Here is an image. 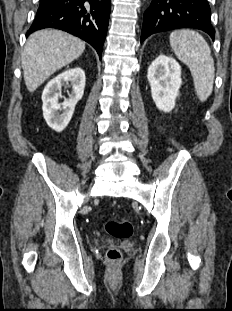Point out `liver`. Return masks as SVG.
I'll use <instances>...</instances> for the list:
<instances>
[{"mask_svg":"<svg viewBox=\"0 0 232 311\" xmlns=\"http://www.w3.org/2000/svg\"><path fill=\"white\" fill-rule=\"evenodd\" d=\"M85 43L60 30H41L31 34L22 54L24 81L35 91L58 69L82 55Z\"/></svg>","mask_w":232,"mask_h":311,"instance_id":"6515ba94","label":"liver"}]
</instances>
